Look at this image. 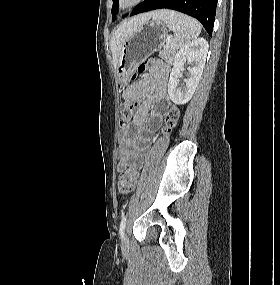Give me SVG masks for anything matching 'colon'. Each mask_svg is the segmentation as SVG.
Masks as SVG:
<instances>
[{
	"label": "colon",
	"mask_w": 280,
	"mask_h": 285,
	"mask_svg": "<svg viewBox=\"0 0 280 285\" xmlns=\"http://www.w3.org/2000/svg\"><path fill=\"white\" fill-rule=\"evenodd\" d=\"M144 64H141L139 69H144ZM136 79V74L132 76V81ZM139 102L136 99L127 100L120 105L119 108V124L121 127H126L135 117L138 110ZM179 118V110L176 107H171L165 117V131L170 130ZM138 180V173L132 169H124L118 178V189L121 193L126 194L132 191Z\"/></svg>",
	"instance_id": "obj_1"
}]
</instances>
